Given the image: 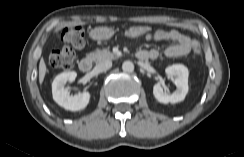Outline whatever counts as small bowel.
<instances>
[{
    "instance_id": "obj_1",
    "label": "small bowel",
    "mask_w": 244,
    "mask_h": 157,
    "mask_svg": "<svg viewBox=\"0 0 244 157\" xmlns=\"http://www.w3.org/2000/svg\"><path fill=\"white\" fill-rule=\"evenodd\" d=\"M143 37L148 41L154 42H174L163 51L164 55L170 58L185 56L191 51L192 41L190 37L177 30H156ZM137 55L142 60L157 59L161 55V52L158 49H143L140 50Z\"/></svg>"
}]
</instances>
